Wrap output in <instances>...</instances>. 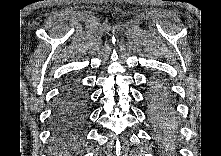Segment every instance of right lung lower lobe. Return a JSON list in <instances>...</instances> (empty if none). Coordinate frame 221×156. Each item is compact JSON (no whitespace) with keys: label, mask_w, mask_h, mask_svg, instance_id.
<instances>
[{"label":"right lung lower lobe","mask_w":221,"mask_h":156,"mask_svg":"<svg viewBox=\"0 0 221 156\" xmlns=\"http://www.w3.org/2000/svg\"><path fill=\"white\" fill-rule=\"evenodd\" d=\"M88 106L86 91L79 85H67L56 99L52 126L60 132L79 130L86 121Z\"/></svg>","instance_id":"1"}]
</instances>
